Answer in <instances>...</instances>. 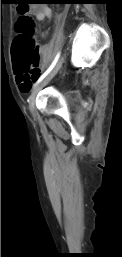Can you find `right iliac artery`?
Wrapping results in <instances>:
<instances>
[{
	"label": "right iliac artery",
	"instance_id": "1",
	"mask_svg": "<svg viewBox=\"0 0 122 257\" xmlns=\"http://www.w3.org/2000/svg\"><path fill=\"white\" fill-rule=\"evenodd\" d=\"M60 53H58L54 59V61L52 62V64L49 66V68L39 77V79L36 81L35 86L40 83L50 72L51 70L54 68V66L56 65L58 59H59Z\"/></svg>",
	"mask_w": 122,
	"mask_h": 257
}]
</instances>
